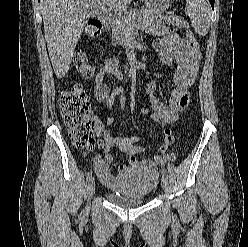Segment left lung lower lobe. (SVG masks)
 Instances as JSON below:
<instances>
[{"label":"left lung lower lobe","instance_id":"1","mask_svg":"<svg viewBox=\"0 0 248 247\" xmlns=\"http://www.w3.org/2000/svg\"><path fill=\"white\" fill-rule=\"evenodd\" d=\"M209 1H210V4H211L212 8H214V1L215 0H209Z\"/></svg>","mask_w":248,"mask_h":247}]
</instances>
